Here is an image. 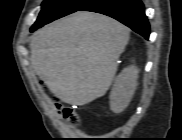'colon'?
Returning <instances> with one entry per match:
<instances>
[{"label": "colon", "instance_id": "colon-1", "mask_svg": "<svg viewBox=\"0 0 182 140\" xmlns=\"http://www.w3.org/2000/svg\"><path fill=\"white\" fill-rule=\"evenodd\" d=\"M61 114L67 118L72 124H77L79 122L78 115L76 114L75 110L70 107H61L60 108Z\"/></svg>", "mask_w": 182, "mask_h": 140}]
</instances>
